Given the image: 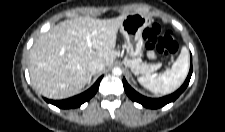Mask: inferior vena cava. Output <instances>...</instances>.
Instances as JSON below:
<instances>
[{
	"mask_svg": "<svg viewBox=\"0 0 225 132\" xmlns=\"http://www.w3.org/2000/svg\"><path fill=\"white\" fill-rule=\"evenodd\" d=\"M104 68H105V65L98 60H93L89 65V70L91 75L102 72Z\"/></svg>",
	"mask_w": 225,
	"mask_h": 132,
	"instance_id": "obj_1",
	"label": "inferior vena cava"
}]
</instances>
